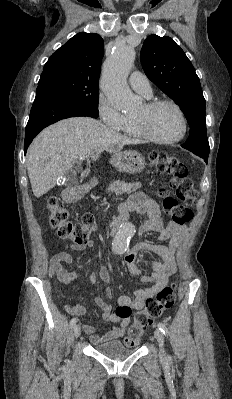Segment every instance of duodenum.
<instances>
[{"instance_id": "obj_1", "label": "duodenum", "mask_w": 232, "mask_h": 399, "mask_svg": "<svg viewBox=\"0 0 232 399\" xmlns=\"http://www.w3.org/2000/svg\"><path fill=\"white\" fill-rule=\"evenodd\" d=\"M83 193H84L83 188L80 186H76V187L68 189L65 192V199L67 201H75V200L79 199L83 195ZM124 220H125V218L123 216L117 218L112 225V232L117 230L119 228V226L124 222Z\"/></svg>"}]
</instances>
